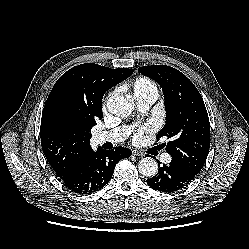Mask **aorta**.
<instances>
[{"mask_svg":"<svg viewBox=\"0 0 249 249\" xmlns=\"http://www.w3.org/2000/svg\"><path fill=\"white\" fill-rule=\"evenodd\" d=\"M107 107L112 114L127 118L132 114L135 103L131 96L115 95L108 100ZM138 170L144 177H153L158 172V165L153 158L145 157L140 160Z\"/></svg>","mask_w":249,"mask_h":249,"instance_id":"1","label":"aorta"}]
</instances>
